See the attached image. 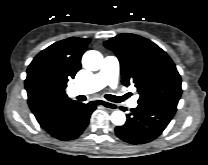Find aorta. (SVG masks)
Segmentation results:
<instances>
[{"label": "aorta", "mask_w": 208, "mask_h": 165, "mask_svg": "<svg viewBox=\"0 0 208 165\" xmlns=\"http://www.w3.org/2000/svg\"><path fill=\"white\" fill-rule=\"evenodd\" d=\"M103 63V56L100 52L95 50H90L84 53L82 57V65L85 69L90 71H97L101 68ZM111 121L117 126H121L126 121V116L124 112L120 110H115L112 112Z\"/></svg>", "instance_id": "762f6f07"}]
</instances>
